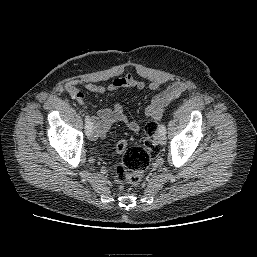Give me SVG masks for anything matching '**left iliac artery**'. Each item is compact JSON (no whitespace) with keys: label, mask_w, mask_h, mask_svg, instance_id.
Returning a JSON list of instances; mask_svg holds the SVG:
<instances>
[{"label":"left iliac artery","mask_w":257,"mask_h":257,"mask_svg":"<svg viewBox=\"0 0 257 257\" xmlns=\"http://www.w3.org/2000/svg\"><path fill=\"white\" fill-rule=\"evenodd\" d=\"M159 131L161 133H163V134H166V127H165V125H163V124L159 125Z\"/></svg>","instance_id":"obj_1"}]
</instances>
